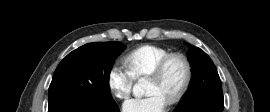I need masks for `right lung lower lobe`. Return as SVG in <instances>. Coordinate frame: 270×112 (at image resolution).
<instances>
[{
    "label": "right lung lower lobe",
    "mask_w": 270,
    "mask_h": 112,
    "mask_svg": "<svg viewBox=\"0 0 270 112\" xmlns=\"http://www.w3.org/2000/svg\"><path fill=\"white\" fill-rule=\"evenodd\" d=\"M48 112H120L116 103L101 105L85 96L49 104Z\"/></svg>",
    "instance_id": "right-lung-lower-lobe-1"
}]
</instances>
